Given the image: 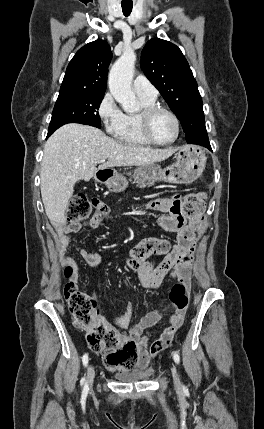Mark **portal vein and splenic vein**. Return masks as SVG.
I'll return each mask as SVG.
<instances>
[{"label": "portal vein and splenic vein", "mask_w": 264, "mask_h": 429, "mask_svg": "<svg viewBox=\"0 0 264 429\" xmlns=\"http://www.w3.org/2000/svg\"><path fill=\"white\" fill-rule=\"evenodd\" d=\"M99 162H101V163H102V162H104V160H99Z\"/></svg>", "instance_id": "1"}]
</instances>
